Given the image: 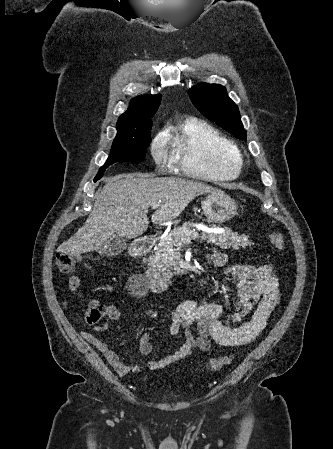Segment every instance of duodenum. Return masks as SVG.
<instances>
[{"instance_id": "duodenum-1", "label": "duodenum", "mask_w": 333, "mask_h": 449, "mask_svg": "<svg viewBox=\"0 0 333 449\" xmlns=\"http://www.w3.org/2000/svg\"><path fill=\"white\" fill-rule=\"evenodd\" d=\"M155 244V238L153 236H145L137 241H135L131 248L130 253L134 257L144 256L148 251L152 249ZM183 270L181 273H183ZM147 282L149 288L157 293H162L167 291L174 280L170 275L161 274L156 268L149 267L146 273Z\"/></svg>"}]
</instances>
